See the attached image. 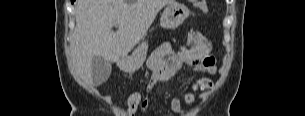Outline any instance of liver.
Masks as SVG:
<instances>
[{
    "label": "liver",
    "mask_w": 305,
    "mask_h": 116,
    "mask_svg": "<svg viewBox=\"0 0 305 116\" xmlns=\"http://www.w3.org/2000/svg\"><path fill=\"white\" fill-rule=\"evenodd\" d=\"M175 0H78L71 60L76 74L92 85V60L125 57L147 33L158 12ZM118 25L114 32L112 26Z\"/></svg>",
    "instance_id": "6515ba94"
}]
</instances>
